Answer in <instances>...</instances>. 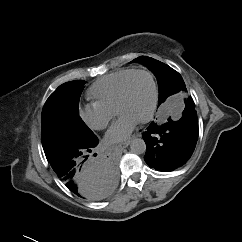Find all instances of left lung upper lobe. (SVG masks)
Returning a JSON list of instances; mask_svg holds the SVG:
<instances>
[{
	"label": "left lung upper lobe",
	"mask_w": 242,
	"mask_h": 242,
	"mask_svg": "<svg viewBox=\"0 0 242 242\" xmlns=\"http://www.w3.org/2000/svg\"><path fill=\"white\" fill-rule=\"evenodd\" d=\"M145 64L156 76L159 86L158 106L166 98L181 90H186L181 75L170 66L147 56H141L133 60Z\"/></svg>",
	"instance_id": "obj_1"
}]
</instances>
